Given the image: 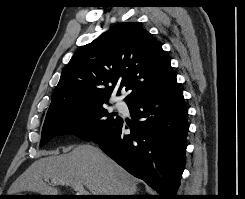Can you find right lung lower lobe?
<instances>
[{"mask_svg":"<svg viewBox=\"0 0 245 199\" xmlns=\"http://www.w3.org/2000/svg\"><path fill=\"white\" fill-rule=\"evenodd\" d=\"M128 108L133 123L119 118L90 141L155 189L160 194L157 199H176L186 163L189 128L179 84L175 81L158 93L134 99Z\"/></svg>","mask_w":245,"mask_h":199,"instance_id":"obj_1","label":"right lung lower lobe"}]
</instances>
